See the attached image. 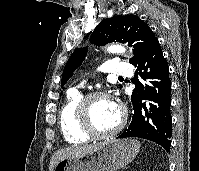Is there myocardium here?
<instances>
[{
	"instance_id": "myocardium-1",
	"label": "myocardium",
	"mask_w": 199,
	"mask_h": 171,
	"mask_svg": "<svg viewBox=\"0 0 199 171\" xmlns=\"http://www.w3.org/2000/svg\"><path fill=\"white\" fill-rule=\"evenodd\" d=\"M110 95L105 91H92L82 97L78 104V116L82 131L92 138H107L118 134L125 126L127 112L124 107L120 108V118L118 123L108 131H99L95 128L91 116V104L99 98H109Z\"/></svg>"
}]
</instances>
